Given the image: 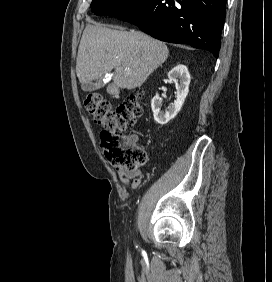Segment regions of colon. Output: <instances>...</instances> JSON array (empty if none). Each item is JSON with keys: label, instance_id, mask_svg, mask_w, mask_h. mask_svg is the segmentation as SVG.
Here are the masks:
<instances>
[{"label": "colon", "instance_id": "obj_1", "mask_svg": "<svg viewBox=\"0 0 272 282\" xmlns=\"http://www.w3.org/2000/svg\"><path fill=\"white\" fill-rule=\"evenodd\" d=\"M84 106L95 121L107 129L101 133V147L109 163L117 169L136 170L146 161L145 151L134 144L124 131L142 114L139 95H131L113 107L101 95L90 94Z\"/></svg>", "mask_w": 272, "mask_h": 282}]
</instances>
